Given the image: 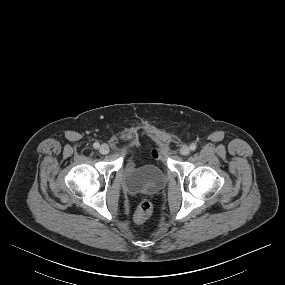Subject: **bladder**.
Here are the masks:
<instances>
[{
    "instance_id": "1",
    "label": "bladder",
    "mask_w": 285,
    "mask_h": 285,
    "mask_svg": "<svg viewBox=\"0 0 285 285\" xmlns=\"http://www.w3.org/2000/svg\"><path fill=\"white\" fill-rule=\"evenodd\" d=\"M122 182L130 192L156 191L165 185L166 176L154 164L140 166L129 159L122 170Z\"/></svg>"
}]
</instances>
